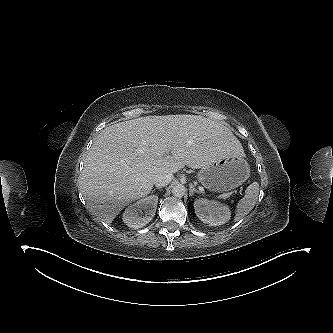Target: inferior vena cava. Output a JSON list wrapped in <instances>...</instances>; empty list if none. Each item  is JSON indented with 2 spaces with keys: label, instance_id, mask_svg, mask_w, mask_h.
<instances>
[{
  "label": "inferior vena cava",
  "instance_id": "1",
  "mask_svg": "<svg viewBox=\"0 0 333 333\" xmlns=\"http://www.w3.org/2000/svg\"><path fill=\"white\" fill-rule=\"evenodd\" d=\"M173 179V174H158L154 179V184L157 188L167 186Z\"/></svg>",
  "mask_w": 333,
  "mask_h": 333
}]
</instances>
